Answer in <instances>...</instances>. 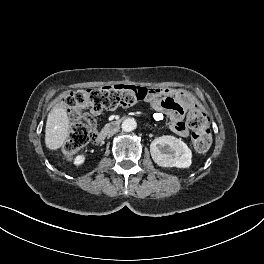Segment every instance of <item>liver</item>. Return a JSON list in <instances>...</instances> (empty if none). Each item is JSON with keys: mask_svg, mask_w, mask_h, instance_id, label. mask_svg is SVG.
I'll list each match as a JSON object with an SVG mask.
<instances>
[{"mask_svg": "<svg viewBox=\"0 0 264 264\" xmlns=\"http://www.w3.org/2000/svg\"><path fill=\"white\" fill-rule=\"evenodd\" d=\"M69 119L67 112L60 102L54 106L48 113L46 130H45V144L50 150L60 148L68 137Z\"/></svg>", "mask_w": 264, "mask_h": 264, "instance_id": "6515ba94", "label": "liver"}]
</instances>
